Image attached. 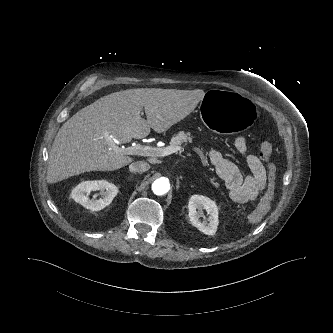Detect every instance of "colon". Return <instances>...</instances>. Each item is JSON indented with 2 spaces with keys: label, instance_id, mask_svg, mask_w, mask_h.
I'll return each instance as SVG.
<instances>
[{
  "label": "colon",
  "instance_id": "colon-1",
  "mask_svg": "<svg viewBox=\"0 0 333 333\" xmlns=\"http://www.w3.org/2000/svg\"><path fill=\"white\" fill-rule=\"evenodd\" d=\"M272 151V141L269 138H265L260 144L259 152L260 157L267 163L268 166V183L261 202L257 208L253 210L248 216V219L251 223L260 222L271 207L275 188V166L271 162Z\"/></svg>",
  "mask_w": 333,
  "mask_h": 333
}]
</instances>
